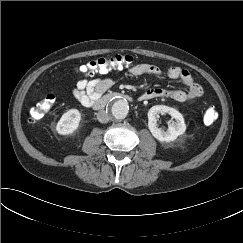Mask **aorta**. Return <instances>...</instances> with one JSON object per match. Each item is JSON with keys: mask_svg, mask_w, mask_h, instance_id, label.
<instances>
[{"mask_svg": "<svg viewBox=\"0 0 243 243\" xmlns=\"http://www.w3.org/2000/svg\"><path fill=\"white\" fill-rule=\"evenodd\" d=\"M129 111V105L126 100H115L111 105V114L115 119H124Z\"/></svg>", "mask_w": 243, "mask_h": 243, "instance_id": "aorta-1", "label": "aorta"}]
</instances>
